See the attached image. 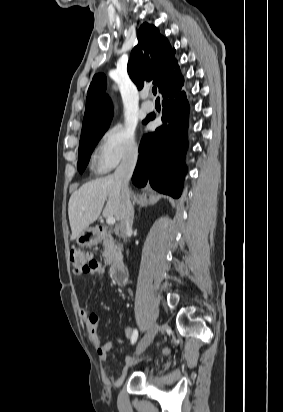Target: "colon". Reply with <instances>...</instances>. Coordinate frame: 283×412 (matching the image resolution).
<instances>
[{"label":"colon","instance_id":"colon-1","mask_svg":"<svg viewBox=\"0 0 283 412\" xmlns=\"http://www.w3.org/2000/svg\"><path fill=\"white\" fill-rule=\"evenodd\" d=\"M69 261L76 274H91L99 267L96 260L89 259L85 253L74 249L70 251Z\"/></svg>","mask_w":283,"mask_h":412}]
</instances>
